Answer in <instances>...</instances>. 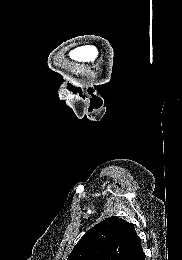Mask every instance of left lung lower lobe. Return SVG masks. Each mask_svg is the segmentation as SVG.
<instances>
[{
	"mask_svg": "<svg viewBox=\"0 0 182 260\" xmlns=\"http://www.w3.org/2000/svg\"><path fill=\"white\" fill-rule=\"evenodd\" d=\"M122 260H145V253L142 250L139 237Z\"/></svg>",
	"mask_w": 182,
	"mask_h": 260,
	"instance_id": "left-lung-lower-lobe-1",
	"label": "left lung lower lobe"
}]
</instances>
